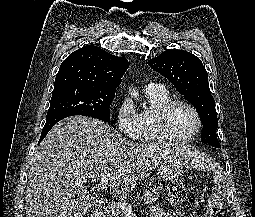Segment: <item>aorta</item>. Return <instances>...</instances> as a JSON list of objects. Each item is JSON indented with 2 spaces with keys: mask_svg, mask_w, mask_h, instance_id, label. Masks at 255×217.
<instances>
[{
  "mask_svg": "<svg viewBox=\"0 0 255 217\" xmlns=\"http://www.w3.org/2000/svg\"><path fill=\"white\" fill-rule=\"evenodd\" d=\"M130 94L133 98H138L139 96L138 90H136L135 88L132 89Z\"/></svg>",
  "mask_w": 255,
  "mask_h": 217,
  "instance_id": "aorta-1",
  "label": "aorta"
}]
</instances>
